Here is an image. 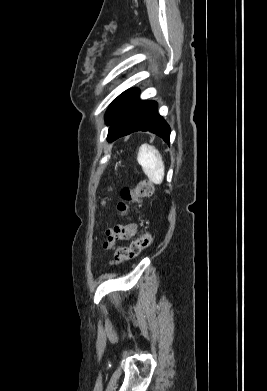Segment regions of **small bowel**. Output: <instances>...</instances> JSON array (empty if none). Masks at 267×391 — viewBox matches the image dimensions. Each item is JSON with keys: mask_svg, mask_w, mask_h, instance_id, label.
Here are the masks:
<instances>
[{"mask_svg": "<svg viewBox=\"0 0 267 391\" xmlns=\"http://www.w3.org/2000/svg\"><path fill=\"white\" fill-rule=\"evenodd\" d=\"M137 231V225L128 223L125 225H114L106 230V239L103 247L107 250L115 248L117 242L129 240Z\"/></svg>", "mask_w": 267, "mask_h": 391, "instance_id": "c3829d8e", "label": "small bowel"}]
</instances>
